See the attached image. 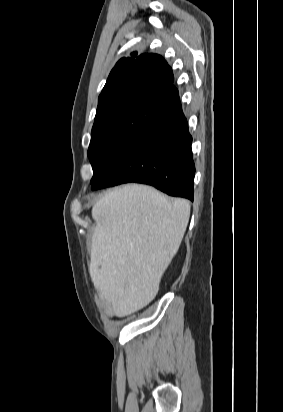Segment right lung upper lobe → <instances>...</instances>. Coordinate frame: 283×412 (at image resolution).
Instances as JSON below:
<instances>
[{
	"label": "right lung upper lobe",
	"instance_id": "obj_1",
	"mask_svg": "<svg viewBox=\"0 0 283 412\" xmlns=\"http://www.w3.org/2000/svg\"><path fill=\"white\" fill-rule=\"evenodd\" d=\"M136 55L120 59L112 69L99 96L95 120L125 112H165L179 99L166 61L156 54ZM165 65L170 70L167 80Z\"/></svg>",
	"mask_w": 283,
	"mask_h": 412
}]
</instances>
